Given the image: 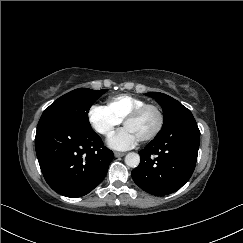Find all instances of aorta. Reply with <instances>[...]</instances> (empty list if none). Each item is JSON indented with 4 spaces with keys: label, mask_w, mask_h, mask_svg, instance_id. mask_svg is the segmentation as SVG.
Instances as JSON below:
<instances>
[{
    "label": "aorta",
    "mask_w": 243,
    "mask_h": 243,
    "mask_svg": "<svg viewBox=\"0 0 243 243\" xmlns=\"http://www.w3.org/2000/svg\"><path fill=\"white\" fill-rule=\"evenodd\" d=\"M140 163V156L137 153L130 152L125 156V164L129 167L136 168Z\"/></svg>",
    "instance_id": "obj_1"
}]
</instances>
